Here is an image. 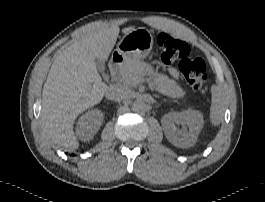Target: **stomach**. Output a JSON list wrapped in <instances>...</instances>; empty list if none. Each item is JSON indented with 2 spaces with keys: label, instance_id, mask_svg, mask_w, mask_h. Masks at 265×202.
<instances>
[{
  "label": "stomach",
  "instance_id": "1",
  "mask_svg": "<svg viewBox=\"0 0 265 202\" xmlns=\"http://www.w3.org/2000/svg\"><path fill=\"white\" fill-rule=\"evenodd\" d=\"M153 35L145 28L125 34L117 44L116 52L124 60H141L148 56L153 47Z\"/></svg>",
  "mask_w": 265,
  "mask_h": 202
}]
</instances>
